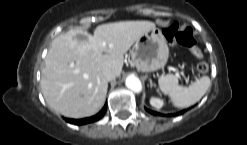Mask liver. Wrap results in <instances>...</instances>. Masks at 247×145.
Segmentation results:
<instances>
[{"mask_svg":"<svg viewBox=\"0 0 247 145\" xmlns=\"http://www.w3.org/2000/svg\"><path fill=\"white\" fill-rule=\"evenodd\" d=\"M153 28L151 21H121L99 25L93 35L87 30L70 29L56 37L45 58L40 82L46 103L71 118L97 113L108 89L103 70L111 69L119 77L124 54Z\"/></svg>","mask_w":247,"mask_h":145,"instance_id":"liver-1","label":"liver"}]
</instances>
